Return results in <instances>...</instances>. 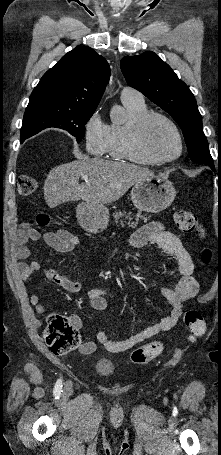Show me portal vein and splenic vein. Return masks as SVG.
<instances>
[{
    "label": "portal vein and splenic vein",
    "instance_id": "portal-vein-and-splenic-vein-1",
    "mask_svg": "<svg viewBox=\"0 0 221 455\" xmlns=\"http://www.w3.org/2000/svg\"><path fill=\"white\" fill-rule=\"evenodd\" d=\"M82 178H83L85 181H88V176H87V175H82Z\"/></svg>",
    "mask_w": 221,
    "mask_h": 455
}]
</instances>
